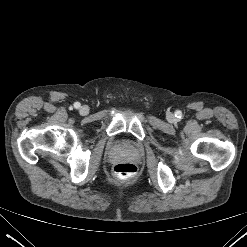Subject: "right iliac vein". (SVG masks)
I'll return each mask as SVG.
<instances>
[{
	"mask_svg": "<svg viewBox=\"0 0 247 247\" xmlns=\"http://www.w3.org/2000/svg\"><path fill=\"white\" fill-rule=\"evenodd\" d=\"M89 113V109L86 106H83L80 108V114L81 115H87Z\"/></svg>",
	"mask_w": 247,
	"mask_h": 247,
	"instance_id": "1",
	"label": "right iliac vein"
}]
</instances>
